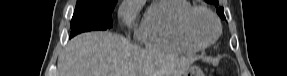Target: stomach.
<instances>
[{
	"label": "stomach",
	"instance_id": "1",
	"mask_svg": "<svg viewBox=\"0 0 287 76\" xmlns=\"http://www.w3.org/2000/svg\"><path fill=\"white\" fill-rule=\"evenodd\" d=\"M185 76H204V75L199 68L192 66L187 70Z\"/></svg>",
	"mask_w": 287,
	"mask_h": 76
}]
</instances>
